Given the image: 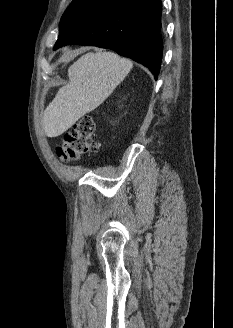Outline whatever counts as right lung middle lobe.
Here are the masks:
<instances>
[{
	"label": "right lung middle lobe",
	"instance_id": "dd1d6c3e",
	"mask_svg": "<svg viewBox=\"0 0 233 328\" xmlns=\"http://www.w3.org/2000/svg\"><path fill=\"white\" fill-rule=\"evenodd\" d=\"M91 1L92 0H73L72 3L70 4V6L68 7V9L63 14L61 20L65 17L69 16L73 12L83 8L84 6L89 4Z\"/></svg>",
	"mask_w": 233,
	"mask_h": 328
}]
</instances>
